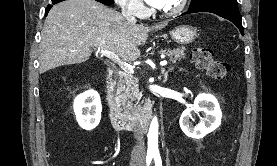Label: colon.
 <instances>
[{"label": "colon", "mask_w": 277, "mask_h": 166, "mask_svg": "<svg viewBox=\"0 0 277 166\" xmlns=\"http://www.w3.org/2000/svg\"><path fill=\"white\" fill-rule=\"evenodd\" d=\"M190 60L198 69L206 72L208 76L215 80L226 79L231 71L230 64L216 59L212 49L206 46L193 48L190 53Z\"/></svg>", "instance_id": "1"}]
</instances>
